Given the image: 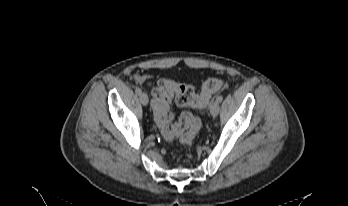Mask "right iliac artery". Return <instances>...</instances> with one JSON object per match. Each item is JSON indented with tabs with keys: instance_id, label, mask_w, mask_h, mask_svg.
Wrapping results in <instances>:
<instances>
[{
	"instance_id": "obj_1",
	"label": "right iliac artery",
	"mask_w": 348,
	"mask_h": 206,
	"mask_svg": "<svg viewBox=\"0 0 348 206\" xmlns=\"http://www.w3.org/2000/svg\"><path fill=\"white\" fill-rule=\"evenodd\" d=\"M135 92L140 95L142 93V90L139 87H136Z\"/></svg>"
}]
</instances>
